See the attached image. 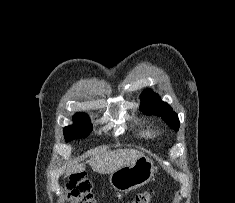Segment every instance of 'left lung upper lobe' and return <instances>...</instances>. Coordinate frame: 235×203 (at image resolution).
Listing matches in <instances>:
<instances>
[{
	"instance_id": "1",
	"label": "left lung upper lobe",
	"mask_w": 235,
	"mask_h": 203,
	"mask_svg": "<svg viewBox=\"0 0 235 203\" xmlns=\"http://www.w3.org/2000/svg\"><path fill=\"white\" fill-rule=\"evenodd\" d=\"M142 104L140 110L146 114H155L163 117L166 123L174 130L179 129V120L172 108L165 102L161 101L160 97L150 89H146L141 94Z\"/></svg>"
}]
</instances>
